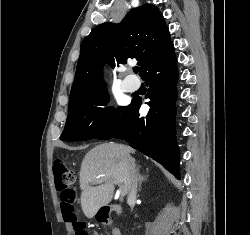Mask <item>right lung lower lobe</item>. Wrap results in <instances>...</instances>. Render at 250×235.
Wrapping results in <instances>:
<instances>
[{
	"label": "right lung lower lobe",
	"mask_w": 250,
	"mask_h": 235,
	"mask_svg": "<svg viewBox=\"0 0 250 235\" xmlns=\"http://www.w3.org/2000/svg\"><path fill=\"white\" fill-rule=\"evenodd\" d=\"M142 78L149 85L145 117L139 115L141 100L133 99L118 118L96 139L121 138L130 146L161 163L180 179L179 149L175 137V101L178 80L173 43L151 63Z\"/></svg>",
	"instance_id": "obj_1"
}]
</instances>
